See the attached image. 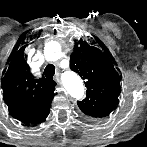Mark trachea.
Wrapping results in <instances>:
<instances>
[{"label": "trachea", "instance_id": "1", "mask_svg": "<svg viewBox=\"0 0 147 147\" xmlns=\"http://www.w3.org/2000/svg\"><path fill=\"white\" fill-rule=\"evenodd\" d=\"M54 74H55V67L53 65H48L44 70V75L46 79L53 78Z\"/></svg>", "mask_w": 147, "mask_h": 147}]
</instances>
